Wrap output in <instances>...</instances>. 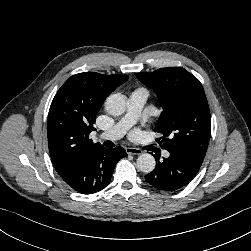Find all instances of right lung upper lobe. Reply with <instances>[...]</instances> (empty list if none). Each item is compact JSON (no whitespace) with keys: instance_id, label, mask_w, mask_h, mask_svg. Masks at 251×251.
Returning <instances> with one entry per match:
<instances>
[{"instance_id":"obj_1","label":"right lung upper lobe","mask_w":251,"mask_h":251,"mask_svg":"<svg viewBox=\"0 0 251 251\" xmlns=\"http://www.w3.org/2000/svg\"><path fill=\"white\" fill-rule=\"evenodd\" d=\"M127 75L84 72L71 76L55 95L49 110L48 147L61 177L90 149L102 147L89 134L104 100Z\"/></svg>"}]
</instances>
